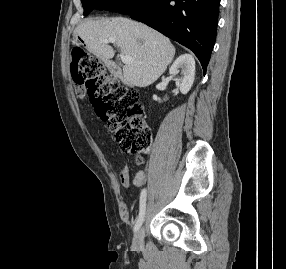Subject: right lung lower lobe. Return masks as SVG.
I'll return each instance as SVG.
<instances>
[{"mask_svg":"<svg viewBox=\"0 0 286 269\" xmlns=\"http://www.w3.org/2000/svg\"><path fill=\"white\" fill-rule=\"evenodd\" d=\"M220 0H156L131 14L194 52L206 71L215 44Z\"/></svg>","mask_w":286,"mask_h":269,"instance_id":"obj_1","label":"right lung lower lobe"}]
</instances>
